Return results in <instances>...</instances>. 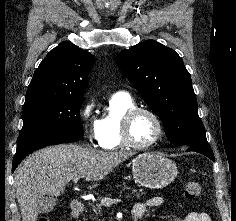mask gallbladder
<instances>
[{
    "label": "gallbladder",
    "mask_w": 236,
    "mask_h": 221,
    "mask_svg": "<svg viewBox=\"0 0 236 221\" xmlns=\"http://www.w3.org/2000/svg\"><path fill=\"white\" fill-rule=\"evenodd\" d=\"M57 204V198L52 196H43L39 204L40 213H48L54 209Z\"/></svg>",
    "instance_id": "bac80fb5"
}]
</instances>
